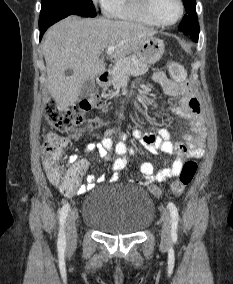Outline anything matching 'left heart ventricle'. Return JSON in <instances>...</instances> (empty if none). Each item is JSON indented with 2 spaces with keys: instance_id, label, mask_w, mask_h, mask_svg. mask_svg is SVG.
Wrapping results in <instances>:
<instances>
[{
  "instance_id": "b2bd125f",
  "label": "left heart ventricle",
  "mask_w": 233,
  "mask_h": 284,
  "mask_svg": "<svg viewBox=\"0 0 233 284\" xmlns=\"http://www.w3.org/2000/svg\"><path fill=\"white\" fill-rule=\"evenodd\" d=\"M153 9L157 17L163 22L174 21L179 13L177 0H153Z\"/></svg>"
}]
</instances>
